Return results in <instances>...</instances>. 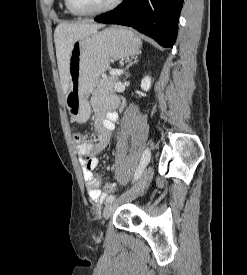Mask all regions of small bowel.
I'll return each mask as SVG.
<instances>
[{
  "label": "small bowel",
  "instance_id": "1",
  "mask_svg": "<svg viewBox=\"0 0 247 275\" xmlns=\"http://www.w3.org/2000/svg\"><path fill=\"white\" fill-rule=\"evenodd\" d=\"M117 104V99L107 94L97 95L92 98L91 106L97 120V139L92 143H83L77 149L89 198L96 203L102 202L106 197V194L100 190V178L94 174V170L98 166L97 155L110 142L111 134L119 119L118 113L111 110Z\"/></svg>",
  "mask_w": 247,
  "mask_h": 275
}]
</instances>
